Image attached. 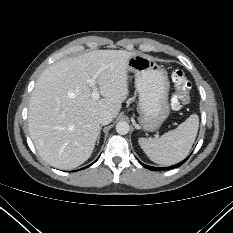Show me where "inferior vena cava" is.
I'll use <instances>...</instances> for the list:
<instances>
[{"label":"inferior vena cava","mask_w":233,"mask_h":233,"mask_svg":"<svg viewBox=\"0 0 233 233\" xmlns=\"http://www.w3.org/2000/svg\"><path fill=\"white\" fill-rule=\"evenodd\" d=\"M112 115L110 112L108 111H103L100 113L99 117H98V122L101 124V125H107L109 123H111L112 121Z\"/></svg>","instance_id":"1"}]
</instances>
